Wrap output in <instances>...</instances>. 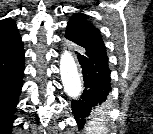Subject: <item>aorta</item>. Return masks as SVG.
<instances>
[{"instance_id": "obj_1", "label": "aorta", "mask_w": 153, "mask_h": 134, "mask_svg": "<svg viewBox=\"0 0 153 134\" xmlns=\"http://www.w3.org/2000/svg\"><path fill=\"white\" fill-rule=\"evenodd\" d=\"M60 75L64 91L68 96L77 98L82 91L78 67L72 53L64 50L60 57Z\"/></svg>"}]
</instances>
